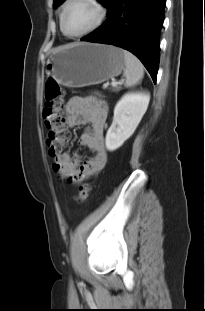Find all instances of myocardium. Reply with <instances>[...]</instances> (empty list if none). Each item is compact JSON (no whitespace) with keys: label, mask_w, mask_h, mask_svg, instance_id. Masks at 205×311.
Returning a JSON list of instances; mask_svg holds the SVG:
<instances>
[{"label":"myocardium","mask_w":205,"mask_h":311,"mask_svg":"<svg viewBox=\"0 0 205 311\" xmlns=\"http://www.w3.org/2000/svg\"><path fill=\"white\" fill-rule=\"evenodd\" d=\"M73 1L74 0H66L65 3L63 4V7H62L60 27H61L62 32L67 37H69V38H81L83 36H86V35L94 32L99 27H101V25L105 22L107 15H108V11H107V8L105 7V5L102 3V1L101 0H86L87 2L91 3L92 5H94L96 7V9L98 10V18L95 21V23L90 28L86 29L85 31L78 33V34H70L66 30V27H65V17H66L68 7Z\"/></svg>","instance_id":"obj_1"}]
</instances>
